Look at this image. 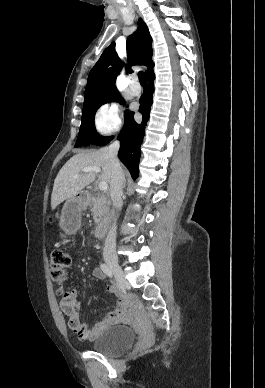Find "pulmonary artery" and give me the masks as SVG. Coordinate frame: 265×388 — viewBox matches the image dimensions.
Returning a JSON list of instances; mask_svg holds the SVG:
<instances>
[{
  "mask_svg": "<svg viewBox=\"0 0 265 388\" xmlns=\"http://www.w3.org/2000/svg\"><path fill=\"white\" fill-rule=\"evenodd\" d=\"M129 80L131 83H129V90H134L133 91V94L134 95H139L140 94V83L139 80H140V77L139 75H130L129 77Z\"/></svg>",
  "mask_w": 265,
  "mask_h": 388,
  "instance_id": "e3ab8cb5",
  "label": "pulmonary artery"
}]
</instances>
